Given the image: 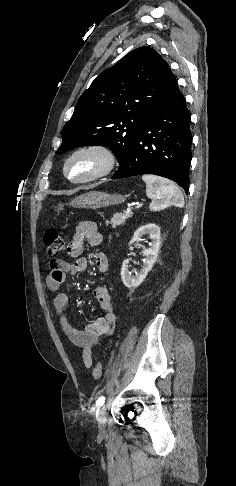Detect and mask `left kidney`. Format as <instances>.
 Here are the masks:
<instances>
[{
  "label": "left kidney",
  "instance_id": "left-kidney-1",
  "mask_svg": "<svg viewBox=\"0 0 236 486\" xmlns=\"http://www.w3.org/2000/svg\"><path fill=\"white\" fill-rule=\"evenodd\" d=\"M143 235H149L151 239V244L149 248H145L142 250V254L143 256H145L142 269L135 276H132L131 272L129 271V260L125 259L122 264L121 278L124 285L128 288L138 287L143 282L148 272L152 269L160 249V227L158 225L149 223L147 225L141 226L135 231L133 238L129 242V245L138 241L139 238ZM131 249L132 247L130 246V250Z\"/></svg>",
  "mask_w": 236,
  "mask_h": 486
}]
</instances>
